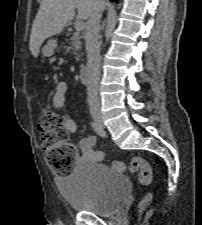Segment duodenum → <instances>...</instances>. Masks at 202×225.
Instances as JSON below:
<instances>
[{
  "instance_id": "1",
  "label": "duodenum",
  "mask_w": 202,
  "mask_h": 225,
  "mask_svg": "<svg viewBox=\"0 0 202 225\" xmlns=\"http://www.w3.org/2000/svg\"><path fill=\"white\" fill-rule=\"evenodd\" d=\"M81 78L83 80L84 83H88L89 82V79H90V67L88 64H84L82 67H81Z\"/></svg>"
}]
</instances>
